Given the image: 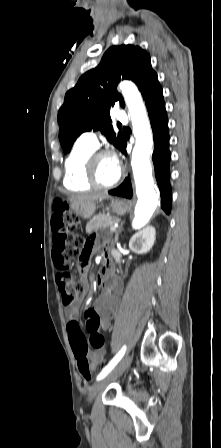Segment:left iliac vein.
<instances>
[{"label":"left iliac vein","instance_id":"left-iliac-vein-1","mask_svg":"<svg viewBox=\"0 0 221 448\" xmlns=\"http://www.w3.org/2000/svg\"><path fill=\"white\" fill-rule=\"evenodd\" d=\"M131 361V354L125 356L104 378L94 383L89 388L88 401L91 402L108 383L117 379L129 367Z\"/></svg>","mask_w":221,"mask_h":448}]
</instances>
